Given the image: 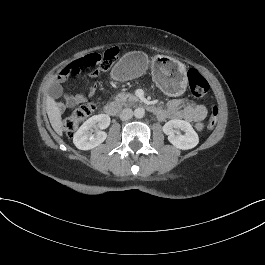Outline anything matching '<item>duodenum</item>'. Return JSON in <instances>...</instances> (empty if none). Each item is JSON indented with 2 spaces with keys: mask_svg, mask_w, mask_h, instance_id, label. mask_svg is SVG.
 <instances>
[{
  "mask_svg": "<svg viewBox=\"0 0 265 265\" xmlns=\"http://www.w3.org/2000/svg\"><path fill=\"white\" fill-rule=\"evenodd\" d=\"M120 109V103L116 101H111L105 105L104 112L109 116H116L120 112ZM149 109L158 116L161 114V108L155 105H150Z\"/></svg>",
  "mask_w": 265,
  "mask_h": 265,
  "instance_id": "1",
  "label": "duodenum"
}]
</instances>
